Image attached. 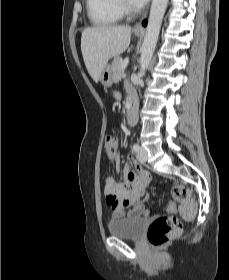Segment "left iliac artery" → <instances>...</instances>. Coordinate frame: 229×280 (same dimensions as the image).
Listing matches in <instances>:
<instances>
[{
    "label": "left iliac artery",
    "mask_w": 229,
    "mask_h": 280,
    "mask_svg": "<svg viewBox=\"0 0 229 280\" xmlns=\"http://www.w3.org/2000/svg\"><path fill=\"white\" fill-rule=\"evenodd\" d=\"M133 151H135V152L139 151V145L137 143L133 144Z\"/></svg>",
    "instance_id": "obj_1"
}]
</instances>
